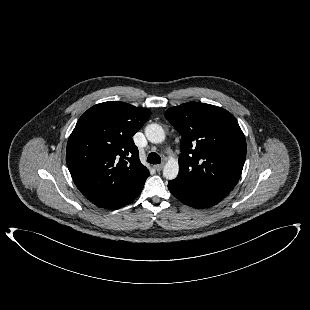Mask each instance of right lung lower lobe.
Wrapping results in <instances>:
<instances>
[{
    "label": "right lung lower lobe",
    "instance_id": "right-lung-lower-lobe-1",
    "mask_svg": "<svg viewBox=\"0 0 310 310\" xmlns=\"http://www.w3.org/2000/svg\"><path fill=\"white\" fill-rule=\"evenodd\" d=\"M140 192L134 198H132L131 200H129L127 202H124V203H121V204H114V205L107 206V207H104V208H107V209H118V208H121V207L129 204L130 202H132L140 194Z\"/></svg>",
    "mask_w": 310,
    "mask_h": 310
}]
</instances>
